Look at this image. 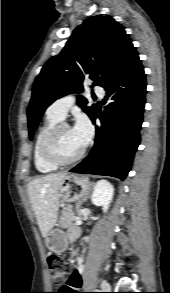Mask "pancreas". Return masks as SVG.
Masks as SVG:
<instances>
[{"instance_id":"obj_1","label":"pancreas","mask_w":170,"mask_h":293,"mask_svg":"<svg viewBox=\"0 0 170 293\" xmlns=\"http://www.w3.org/2000/svg\"><path fill=\"white\" fill-rule=\"evenodd\" d=\"M78 219L75 211L72 210L71 206H68L62 210L59 226L64 229H75L77 226L74 222Z\"/></svg>"}]
</instances>
